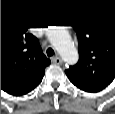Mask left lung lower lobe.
<instances>
[{"label": "left lung lower lobe", "instance_id": "obj_1", "mask_svg": "<svg viewBox=\"0 0 115 114\" xmlns=\"http://www.w3.org/2000/svg\"><path fill=\"white\" fill-rule=\"evenodd\" d=\"M79 89L86 91V92H98L102 89L94 88V87H78Z\"/></svg>", "mask_w": 115, "mask_h": 114}]
</instances>
